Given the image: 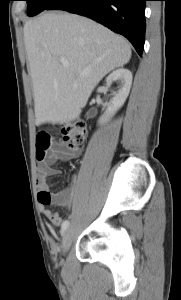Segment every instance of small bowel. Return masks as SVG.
<instances>
[{
    "label": "small bowel",
    "instance_id": "1",
    "mask_svg": "<svg viewBox=\"0 0 181 300\" xmlns=\"http://www.w3.org/2000/svg\"><path fill=\"white\" fill-rule=\"evenodd\" d=\"M67 159L74 158L76 153L63 154ZM60 159V152L57 147H52L45 158L37 166V187L38 202L43 207V214L54 227L61 225L62 218L56 212L48 209L47 206L56 205L59 207H70L72 204L75 188L71 187L60 192H51V184L48 178L59 173L54 164Z\"/></svg>",
    "mask_w": 181,
    "mask_h": 300
}]
</instances>
